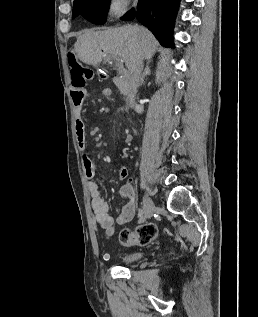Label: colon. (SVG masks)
I'll return each mask as SVG.
<instances>
[{
	"mask_svg": "<svg viewBox=\"0 0 258 317\" xmlns=\"http://www.w3.org/2000/svg\"><path fill=\"white\" fill-rule=\"evenodd\" d=\"M68 64L72 83L87 85L94 77L91 68L83 65L73 48L67 52ZM157 236V227L153 223H145L138 226L135 230L123 229L119 233V240L125 246L146 245Z\"/></svg>",
	"mask_w": 258,
	"mask_h": 317,
	"instance_id": "1",
	"label": "colon"
}]
</instances>
